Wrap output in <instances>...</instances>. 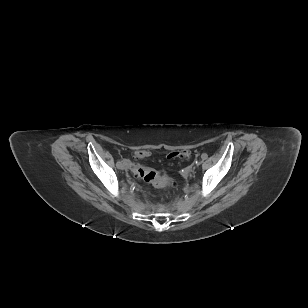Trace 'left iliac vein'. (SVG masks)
Returning a JSON list of instances; mask_svg holds the SVG:
<instances>
[{"label": "left iliac vein", "mask_w": 308, "mask_h": 308, "mask_svg": "<svg viewBox=\"0 0 308 308\" xmlns=\"http://www.w3.org/2000/svg\"><path fill=\"white\" fill-rule=\"evenodd\" d=\"M201 163H202V161H201V160H199V161H197V162H196V165H198V166H199Z\"/></svg>", "instance_id": "4c4485c4"}]
</instances>
